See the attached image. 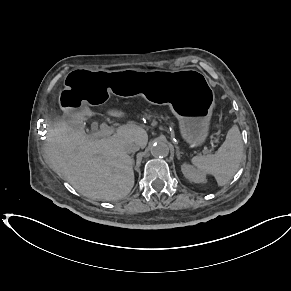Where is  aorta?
I'll return each instance as SVG.
<instances>
[{"instance_id":"762f6f07","label":"aorta","mask_w":291,"mask_h":291,"mask_svg":"<svg viewBox=\"0 0 291 291\" xmlns=\"http://www.w3.org/2000/svg\"><path fill=\"white\" fill-rule=\"evenodd\" d=\"M154 157H166L169 154V147L163 142L154 143L150 149Z\"/></svg>"}]
</instances>
